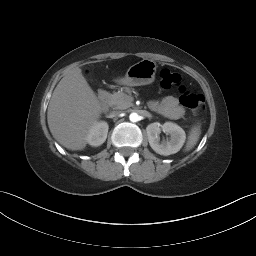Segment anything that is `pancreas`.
Returning a JSON list of instances; mask_svg holds the SVG:
<instances>
[{
	"instance_id": "cf45deb5",
	"label": "pancreas",
	"mask_w": 256,
	"mask_h": 256,
	"mask_svg": "<svg viewBox=\"0 0 256 256\" xmlns=\"http://www.w3.org/2000/svg\"><path fill=\"white\" fill-rule=\"evenodd\" d=\"M107 100L108 104L114 109H126L132 105L133 98L122 91H118L108 94Z\"/></svg>"
}]
</instances>
